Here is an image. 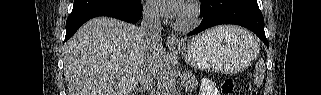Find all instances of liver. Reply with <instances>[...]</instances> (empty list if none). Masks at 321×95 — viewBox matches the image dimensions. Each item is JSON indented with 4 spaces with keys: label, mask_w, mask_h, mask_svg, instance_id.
<instances>
[{
    "label": "liver",
    "mask_w": 321,
    "mask_h": 95,
    "mask_svg": "<svg viewBox=\"0 0 321 95\" xmlns=\"http://www.w3.org/2000/svg\"><path fill=\"white\" fill-rule=\"evenodd\" d=\"M226 27L214 28L223 31ZM150 49L140 28L113 18L86 22L64 45V76L70 95H129L149 63ZM164 56L153 53L155 75Z\"/></svg>",
    "instance_id": "1"
}]
</instances>
